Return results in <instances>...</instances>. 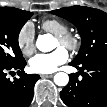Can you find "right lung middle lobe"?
Masks as SVG:
<instances>
[{
  "label": "right lung middle lobe",
  "mask_w": 107,
  "mask_h": 107,
  "mask_svg": "<svg viewBox=\"0 0 107 107\" xmlns=\"http://www.w3.org/2000/svg\"><path fill=\"white\" fill-rule=\"evenodd\" d=\"M32 15V12L17 8H0V64L14 65L24 61L18 44V35Z\"/></svg>",
  "instance_id": "right-lung-middle-lobe-1"
}]
</instances>
